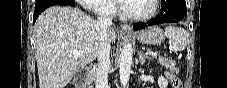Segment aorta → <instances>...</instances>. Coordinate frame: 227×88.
Listing matches in <instances>:
<instances>
[{"instance_id": "obj_1", "label": "aorta", "mask_w": 227, "mask_h": 88, "mask_svg": "<svg viewBox=\"0 0 227 88\" xmlns=\"http://www.w3.org/2000/svg\"><path fill=\"white\" fill-rule=\"evenodd\" d=\"M133 58V48L130 43L124 44L119 57V73L122 86H126L131 72V64Z\"/></svg>"}]
</instances>
